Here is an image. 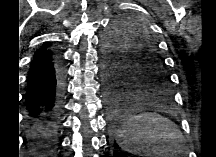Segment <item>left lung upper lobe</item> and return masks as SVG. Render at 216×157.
Here are the masks:
<instances>
[{"label": "left lung upper lobe", "instance_id": "obj_1", "mask_svg": "<svg viewBox=\"0 0 216 157\" xmlns=\"http://www.w3.org/2000/svg\"><path fill=\"white\" fill-rule=\"evenodd\" d=\"M111 79L121 74L133 95L169 97L171 79L157 42L147 25L134 16L116 19L103 37Z\"/></svg>", "mask_w": 216, "mask_h": 157}]
</instances>
